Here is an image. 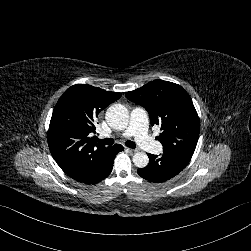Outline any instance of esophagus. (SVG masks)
<instances>
[{"label":"esophagus","mask_w":251,"mask_h":251,"mask_svg":"<svg viewBox=\"0 0 251 251\" xmlns=\"http://www.w3.org/2000/svg\"><path fill=\"white\" fill-rule=\"evenodd\" d=\"M128 151L130 154H135L137 153L139 150L138 149H131V148H128Z\"/></svg>","instance_id":"obj_1"}]
</instances>
